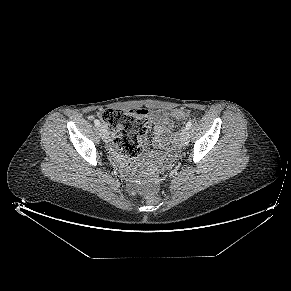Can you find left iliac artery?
Returning <instances> with one entry per match:
<instances>
[{
    "label": "left iliac artery",
    "instance_id": "obj_1",
    "mask_svg": "<svg viewBox=\"0 0 291 291\" xmlns=\"http://www.w3.org/2000/svg\"><path fill=\"white\" fill-rule=\"evenodd\" d=\"M191 126H192V121L189 120L186 124V129L189 130L191 128Z\"/></svg>",
    "mask_w": 291,
    "mask_h": 291
}]
</instances>
